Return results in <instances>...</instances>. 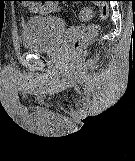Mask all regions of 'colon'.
<instances>
[{
    "label": "colon",
    "instance_id": "5ec220e1",
    "mask_svg": "<svg viewBox=\"0 0 135 161\" xmlns=\"http://www.w3.org/2000/svg\"><path fill=\"white\" fill-rule=\"evenodd\" d=\"M31 1V0H30ZM50 1H56V0H50ZM97 4L100 9L99 18L101 20H104L107 18L109 14V8L108 5L103 3V1H98ZM94 13V5H84L81 10V16L84 18H89ZM99 29V25L96 23L89 24L85 26L73 39L72 41V48L75 51H78L83 48V46L86 44V42L93 37Z\"/></svg>",
    "mask_w": 135,
    "mask_h": 161
}]
</instances>
